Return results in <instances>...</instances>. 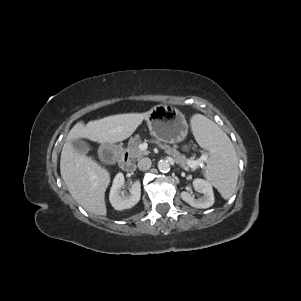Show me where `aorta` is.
<instances>
[{"mask_svg": "<svg viewBox=\"0 0 301 301\" xmlns=\"http://www.w3.org/2000/svg\"><path fill=\"white\" fill-rule=\"evenodd\" d=\"M158 169L163 173H167L170 171V163L167 160L161 159L158 162Z\"/></svg>", "mask_w": 301, "mask_h": 301, "instance_id": "aorta-1", "label": "aorta"}]
</instances>
